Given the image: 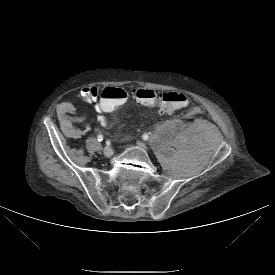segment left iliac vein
<instances>
[{"label":"left iliac vein","mask_w":275,"mask_h":275,"mask_svg":"<svg viewBox=\"0 0 275 275\" xmlns=\"http://www.w3.org/2000/svg\"><path fill=\"white\" fill-rule=\"evenodd\" d=\"M138 144H139V145H143V143H141V142H139Z\"/></svg>","instance_id":"4c4485c4"}]
</instances>
